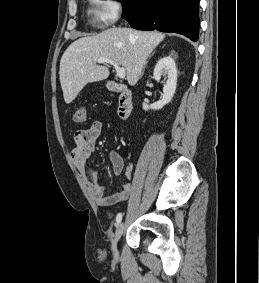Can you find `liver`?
<instances>
[{
  "label": "liver",
  "mask_w": 259,
  "mask_h": 283,
  "mask_svg": "<svg viewBox=\"0 0 259 283\" xmlns=\"http://www.w3.org/2000/svg\"><path fill=\"white\" fill-rule=\"evenodd\" d=\"M164 38V34L154 31L110 28L74 41L60 61L59 79L65 103H71L88 83L109 76L107 66L96 64L99 58H108L123 66L128 84L134 86L146 59Z\"/></svg>",
  "instance_id": "obj_1"
}]
</instances>
